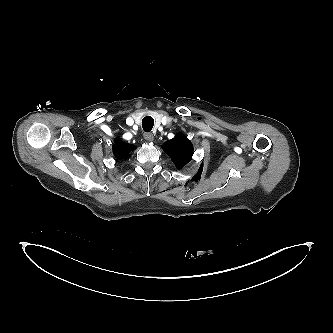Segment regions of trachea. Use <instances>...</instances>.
<instances>
[{
  "label": "trachea",
  "mask_w": 333,
  "mask_h": 333,
  "mask_svg": "<svg viewBox=\"0 0 333 333\" xmlns=\"http://www.w3.org/2000/svg\"><path fill=\"white\" fill-rule=\"evenodd\" d=\"M154 125V119L150 116H146L142 119V127L145 132H150Z\"/></svg>",
  "instance_id": "3493384b"
}]
</instances>
